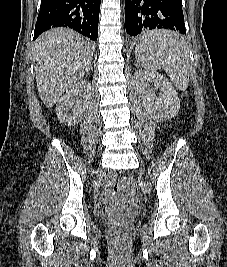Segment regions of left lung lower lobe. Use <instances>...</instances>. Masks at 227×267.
Returning <instances> with one entry per match:
<instances>
[{
  "instance_id": "0a47b994",
  "label": "left lung lower lobe",
  "mask_w": 227,
  "mask_h": 267,
  "mask_svg": "<svg viewBox=\"0 0 227 267\" xmlns=\"http://www.w3.org/2000/svg\"><path fill=\"white\" fill-rule=\"evenodd\" d=\"M125 26L131 37L155 28L186 34L181 0H125Z\"/></svg>"
}]
</instances>
